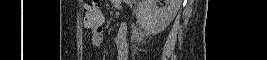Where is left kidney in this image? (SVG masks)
Masks as SVG:
<instances>
[{
	"instance_id": "left-kidney-1",
	"label": "left kidney",
	"mask_w": 267,
	"mask_h": 60,
	"mask_svg": "<svg viewBox=\"0 0 267 60\" xmlns=\"http://www.w3.org/2000/svg\"><path fill=\"white\" fill-rule=\"evenodd\" d=\"M158 0H142L137 9V19L148 33L162 32L176 16L181 0H166V7L159 8Z\"/></svg>"
}]
</instances>
